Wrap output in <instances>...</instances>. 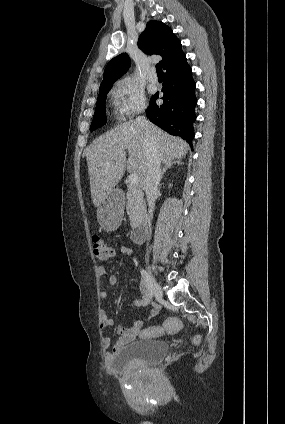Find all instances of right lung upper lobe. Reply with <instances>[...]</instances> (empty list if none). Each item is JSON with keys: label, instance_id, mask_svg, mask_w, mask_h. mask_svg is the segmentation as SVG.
<instances>
[{"label": "right lung upper lobe", "instance_id": "obj_1", "mask_svg": "<svg viewBox=\"0 0 285 424\" xmlns=\"http://www.w3.org/2000/svg\"><path fill=\"white\" fill-rule=\"evenodd\" d=\"M138 47L147 54L162 56L160 63L164 70L186 58L179 39L168 26L160 21L151 20L147 23L146 29L139 37ZM129 66L130 58L126 53L114 57L105 68L100 88L112 85Z\"/></svg>", "mask_w": 285, "mask_h": 424}]
</instances>
